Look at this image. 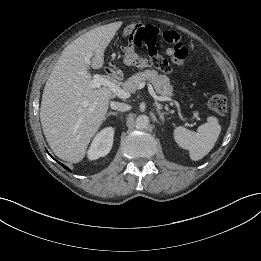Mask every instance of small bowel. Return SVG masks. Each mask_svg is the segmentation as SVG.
I'll return each mask as SVG.
<instances>
[{
  "instance_id": "small-bowel-1",
  "label": "small bowel",
  "mask_w": 261,
  "mask_h": 261,
  "mask_svg": "<svg viewBox=\"0 0 261 261\" xmlns=\"http://www.w3.org/2000/svg\"><path fill=\"white\" fill-rule=\"evenodd\" d=\"M184 50H185V54H186L184 57L177 55L176 51L173 47L167 48L166 54L171 57L173 64H175L177 66H181L184 62L185 57L187 56V49L185 47H184ZM122 51H123L124 62L127 65L135 66V67H139V68H146V67L150 66L149 60L147 58L139 55L136 52L135 46L131 41H129L128 44L122 48Z\"/></svg>"
}]
</instances>
